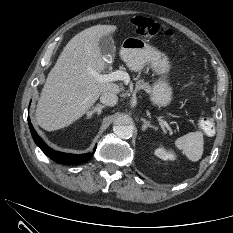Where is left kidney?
I'll use <instances>...</instances> for the list:
<instances>
[{
  "mask_svg": "<svg viewBox=\"0 0 233 233\" xmlns=\"http://www.w3.org/2000/svg\"><path fill=\"white\" fill-rule=\"evenodd\" d=\"M154 154L163 160L174 161L176 159V155L172 151H167L163 147L155 149Z\"/></svg>",
  "mask_w": 233,
  "mask_h": 233,
  "instance_id": "5707ae66",
  "label": "left kidney"
}]
</instances>
